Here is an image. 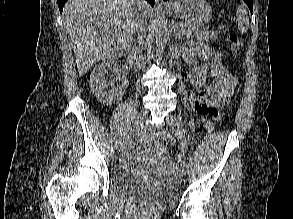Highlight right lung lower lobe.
<instances>
[{
  "label": "right lung lower lobe",
  "mask_w": 293,
  "mask_h": 219,
  "mask_svg": "<svg viewBox=\"0 0 293 219\" xmlns=\"http://www.w3.org/2000/svg\"><path fill=\"white\" fill-rule=\"evenodd\" d=\"M67 0H57L60 13L63 11V6ZM151 4V6H154L155 0H146Z\"/></svg>",
  "instance_id": "right-lung-lower-lobe-1"
}]
</instances>
